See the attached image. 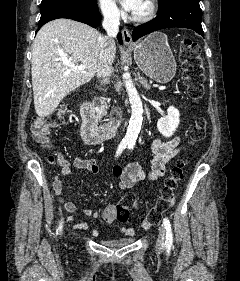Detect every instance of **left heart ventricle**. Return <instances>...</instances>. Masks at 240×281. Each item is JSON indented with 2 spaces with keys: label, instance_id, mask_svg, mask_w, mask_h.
Here are the masks:
<instances>
[{
  "label": "left heart ventricle",
  "instance_id": "b2bd125f",
  "mask_svg": "<svg viewBox=\"0 0 240 281\" xmlns=\"http://www.w3.org/2000/svg\"><path fill=\"white\" fill-rule=\"evenodd\" d=\"M147 5H146V0L142 1V4L140 8L135 12V14H142L146 11Z\"/></svg>",
  "mask_w": 240,
  "mask_h": 281
}]
</instances>
